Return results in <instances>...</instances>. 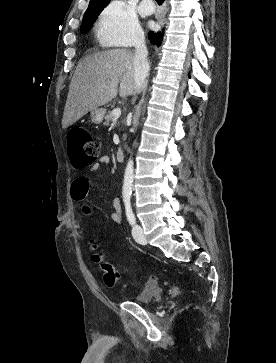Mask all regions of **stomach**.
I'll list each match as a JSON object with an SVG mask.
<instances>
[{"label": "stomach", "mask_w": 276, "mask_h": 363, "mask_svg": "<svg viewBox=\"0 0 276 363\" xmlns=\"http://www.w3.org/2000/svg\"><path fill=\"white\" fill-rule=\"evenodd\" d=\"M106 110L104 108H96L91 111L90 117L94 124H100L103 121Z\"/></svg>", "instance_id": "1"}]
</instances>
